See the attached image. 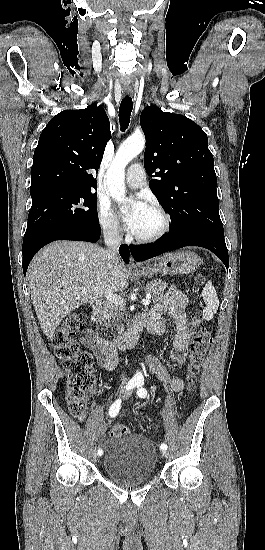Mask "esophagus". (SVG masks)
Instances as JSON below:
<instances>
[{"mask_svg":"<svg viewBox=\"0 0 265 550\" xmlns=\"http://www.w3.org/2000/svg\"><path fill=\"white\" fill-rule=\"evenodd\" d=\"M126 94H131L130 91H126ZM130 264L133 268H137L138 264L134 261L133 257H130Z\"/></svg>","mask_w":265,"mask_h":550,"instance_id":"1","label":"esophagus"}]
</instances>
